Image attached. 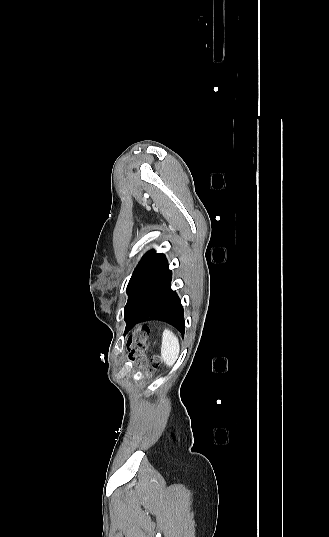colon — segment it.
I'll use <instances>...</instances> for the list:
<instances>
[{
  "mask_svg": "<svg viewBox=\"0 0 329 537\" xmlns=\"http://www.w3.org/2000/svg\"><path fill=\"white\" fill-rule=\"evenodd\" d=\"M147 336L146 330H138L136 331L132 337L129 339L127 348H128V356L127 359L130 363L138 366H143L146 362V355H145V340ZM151 366L154 368L159 367L160 365V358L157 355H153L150 358Z\"/></svg>",
  "mask_w": 329,
  "mask_h": 537,
  "instance_id": "colon-1",
  "label": "colon"
}]
</instances>
